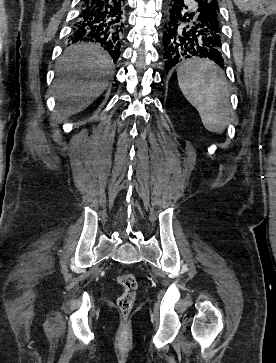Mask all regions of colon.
<instances>
[{
	"instance_id": "colon-1",
	"label": "colon",
	"mask_w": 276,
	"mask_h": 363,
	"mask_svg": "<svg viewBox=\"0 0 276 363\" xmlns=\"http://www.w3.org/2000/svg\"><path fill=\"white\" fill-rule=\"evenodd\" d=\"M117 281L122 288L121 294L117 299V307L123 317H128L132 311L138 283L135 276L131 273H122L117 277Z\"/></svg>"
}]
</instances>
